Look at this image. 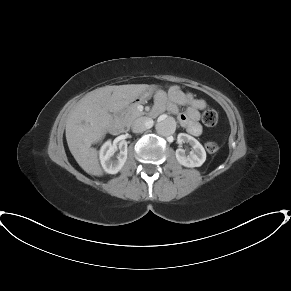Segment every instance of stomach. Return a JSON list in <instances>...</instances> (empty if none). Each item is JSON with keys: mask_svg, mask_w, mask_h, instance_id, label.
I'll return each mask as SVG.
<instances>
[{"mask_svg": "<svg viewBox=\"0 0 291 291\" xmlns=\"http://www.w3.org/2000/svg\"><path fill=\"white\" fill-rule=\"evenodd\" d=\"M156 90V86H149L144 92L143 94L141 95V98L142 99H147L149 98L153 92Z\"/></svg>", "mask_w": 291, "mask_h": 291, "instance_id": "0dacf381", "label": "stomach"}]
</instances>
